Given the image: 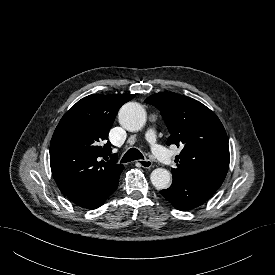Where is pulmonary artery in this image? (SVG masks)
I'll list each match as a JSON object with an SVG mask.
<instances>
[{"label": "pulmonary artery", "instance_id": "obj_1", "mask_svg": "<svg viewBox=\"0 0 275 275\" xmlns=\"http://www.w3.org/2000/svg\"><path fill=\"white\" fill-rule=\"evenodd\" d=\"M146 141L149 143V145L152 148V152L155 155V157L164 162V163H170L172 161L171 155L167 151L166 148H164L159 142L157 141V135L154 128H149L146 132Z\"/></svg>", "mask_w": 275, "mask_h": 275}]
</instances>
